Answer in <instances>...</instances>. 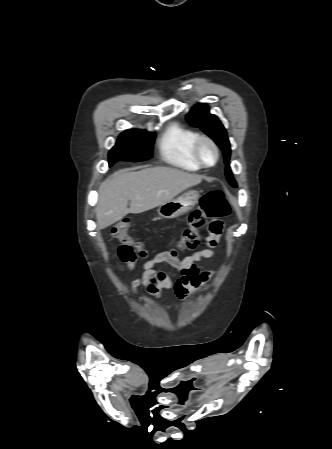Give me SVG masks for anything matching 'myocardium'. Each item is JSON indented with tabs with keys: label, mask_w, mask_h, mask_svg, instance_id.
I'll return each instance as SVG.
<instances>
[{
	"label": "myocardium",
	"mask_w": 332,
	"mask_h": 449,
	"mask_svg": "<svg viewBox=\"0 0 332 449\" xmlns=\"http://www.w3.org/2000/svg\"><path fill=\"white\" fill-rule=\"evenodd\" d=\"M204 144L210 146L214 153V159L210 163L206 162L201 155V147ZM192 152L198 164L204 168H210L215 166L219 160V148L217 144L214 142V140L207 135L203 134L197 135L192 145Z\"/></svg>",
	"instance_id": "myocardium-1"
}]
</instances>
